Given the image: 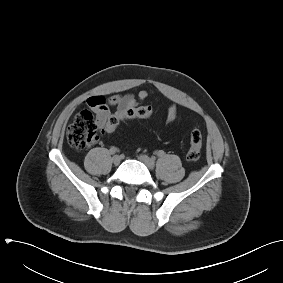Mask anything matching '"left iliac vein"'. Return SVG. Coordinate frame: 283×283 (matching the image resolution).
<instances>
[{"label":"left iliac vein","mask_w":283,"mask_h":283,"mask_svg":"<svg viewBox=\"0 0 283 283\" xmlns=\"http://www.w3.org/2000/svg\"><path fill=\"white\" fill-rule=\"evenodd\" d=\"M138 159L143 162L148 169L152 170L155 167V162L152 158L148 157L147 155L141 154L138 156Z\"/></svg>","instance_id":"obj_1"}]
</instances>
